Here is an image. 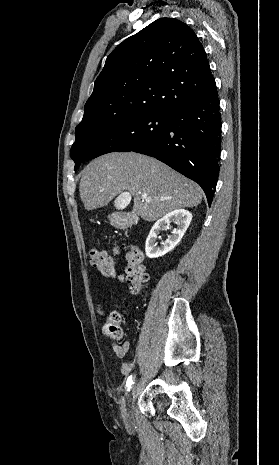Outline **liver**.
Wrapping results in <instances>:
<instances>
[{
  "mask_svg": "<svg viewBox=\"0 0 279 465\" xmlns=\"http://www.w3.org/2000/svg\"><path fill=\"white\" fill-rule=\"evenodd\" d=\"M124 191L134 198L133 212L147 222L176 209L198 206L203 195L195 182L157 159L134 152L103 155L82 172L79 192L88 211L107 205ZM142 194L151 200H143ZM120 200L122 195L115 200L117 208H123Z\"/></svg>",
  "mask_w": 279,
  "mask_h": 465,
  "instance_id": "obj_1",
  "label": "liver"
}]
</instances>
